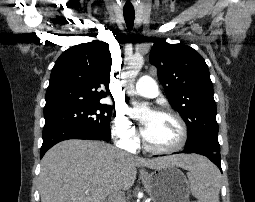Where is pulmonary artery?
<instances>
[{
    "label": "pulmonary artery",
    "instance_id": "obj_1",
    "mask_svg": "<svg viewBox=\"0 0 255 202\" xmlns=\"http://www.w3.org/2000/svg\"><path fill=\"white\" fill-rule=\"evenodd\" d=\"M134 93L139 96L153 98L158 95L159 91L156 81L152 77L144 75L137 81Z\"/></svg>",
    "mask_w": 255,
    "mask_h": 202
}]
</instances>
